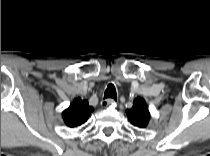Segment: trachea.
<instances>
[{
	"mask_svg": "<svg viewBox=\"0 0 210 156\" xmlns=\"http://www.w3.org/2000/svg\"><path fill=\"white\" fill-rule=\"evenodd\" d=\"M104 98H110L113 100H117V94L115 90V86L113 84H109L107 89L105 90Z\"/></svg>",
	"mask_w": 210,
	"mask_h": 156,
	"instance_id": "trachea-1",
	"label": "trachea"
}]
</instances>
